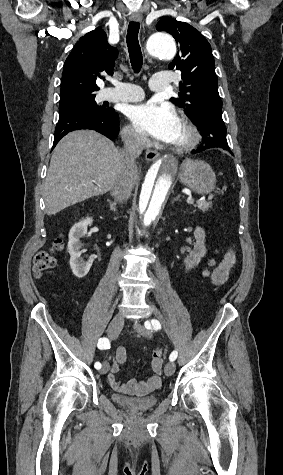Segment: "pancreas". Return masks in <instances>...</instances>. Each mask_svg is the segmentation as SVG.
I'll list each match as a JSON object with an SVG mask.
<instances>
[{"label": "pancreas", "instance_id": "cf45deb5", "mask_svg": "<svg viewBox=\"0 0 283 475\" xmlns=\"http://www.w3.org/2000/svg\"><path fill=\"white\" fill-rule=\"evenodd\" d=\"M196 206L199 208V210H202V212H208L209 208L212 206V202H206V200H202V202H198Z\"/></svg>", "mask_w": 283, "mask_h": 475}]
</instances>
